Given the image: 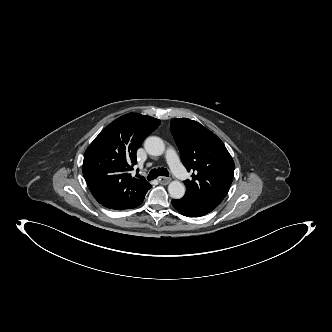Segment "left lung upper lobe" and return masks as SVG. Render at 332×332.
<instances>
[{"mask_svg":"<svg viewBox=\"0 0 332 332\" xmlns=\"http://www.w3.org/2000/svg\"><path fill=\"white\" fill-rule=\"evenodd\" d=\"M170 129L184 166L193 172L192 180L184 181L185 195L215 209L233 180L231 155L215 134L194 120L173 119Z\"/></svg>","mask_w":332,"mask_h":332,"instance_id":"left-lung-upper-lobe-1","label":"left lung upper lobe"}]
</instances>
